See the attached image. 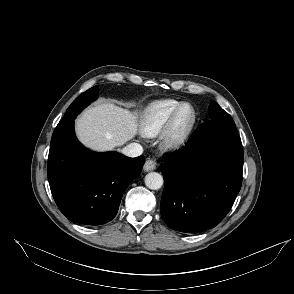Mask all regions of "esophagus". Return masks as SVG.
Listing matches in <instances>:
<instances>
[{
  "instance_id": "obj_1",
  "label": "esophagus",
  "mask_w": 294,
  "mask_h": 294,
  "mask_svg": "<svg viewBox=\"0 0 294 294\" xmlns=\"http://www.w3.org/2000/svg\"><path fill=\"white\" fill-rule=\"evenodd\" d=\"M156 169V162L150 158H148L144 164L143 170L145 172L153 171Z\"/></svg>"
}]
</instances>
